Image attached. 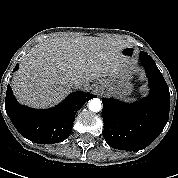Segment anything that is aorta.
<instances>
[{
    "label": "aorta",
    "mask_w": 178,
    "mask_h": 178,
    "mask_svg": "<svg viewBox=\"0 0 178 178\" xmlns=\"http://www.w3.org/2000/svg\"><path fill=\"white\" fill-rule=\"evenodd\" d=\"M88 107H89V110L92 111V112H98V111H100L101 108H102L100 99H98V98L92 99L89 102Z\"/></svg>",
    "instance_id": "762f6f07"
}]
</instances>
